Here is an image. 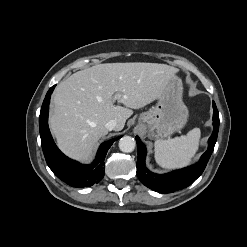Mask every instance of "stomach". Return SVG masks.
<instances>
[{
  "label": "stomach",
  "mask_w": 247,
  "mask_h": 247,
  "mask_svg": "<svg viewBox=\"0 0 247 247\" xmlns=\"http://www.w3.org/2000/svg\"><path fill=\"white\" fill-rule=\"evenodd\" d=\"M183 86L176 77L169 81L157 103L140 114L139 125L153 139H164L180 131L187 123L189 112L182 101Z\"/></svg>",
  "instance_id": "0dacf381"
}]
</instances>
